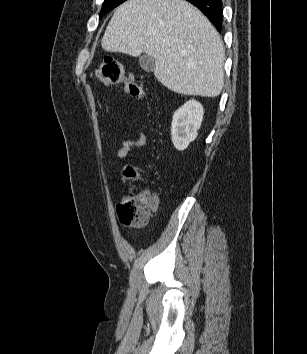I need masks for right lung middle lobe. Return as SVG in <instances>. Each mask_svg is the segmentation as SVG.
Returning <instances> with one entry per match:
<instances>
[{
    "label": "right lung middle lobe",
    "mask_w": 307,
    "mask_h": 354,
    "mask_svg": "<svg viewBox=\"0 0 307 354\" xmlns=\"http://www.w3.org/2000/svg\"><path fill=\"white\" fill-rule=\"evenodd\" d=\"M126 0H105L103 5H102V10L100 12L99 18H101L104 14H106L108 11L114 9L121 3H123Z\"/></svg>",
    "instance_id": "obj_1"
}]
</instances>
